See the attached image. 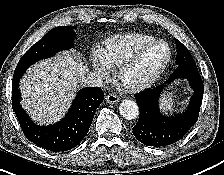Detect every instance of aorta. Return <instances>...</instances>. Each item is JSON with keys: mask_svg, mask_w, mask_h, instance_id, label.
<instances>
[{"mask_svg": "<svg viewBox=\"0 0 224 175\" xmlns=\"http://www.w3.org/2000/svg\"><path fill=\"white\" fill-rule=\"evenodd\" d=\"M119 111L121 116L127 120H132L139 115V107L137 103L131 100H123L120 103Z\"/></svg>", "mask_w": 224, "mask_h": 175, "instance_id": "1", "label": "aorta"}]
</instances>
